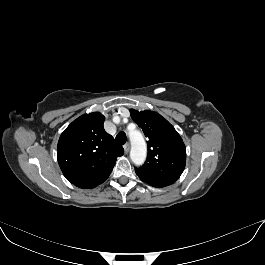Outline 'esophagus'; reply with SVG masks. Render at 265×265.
Wrapping results in <instances>:
<instances>
[{
    "instance_id": "esophagus-1",
    "label": "esophagus",
    "mask_w": 265,
    "mask_h": 265,
    "mask_svg": "<svg viewBox=\"0 0 265 265\" xmlns=\"http://www.w3.org/2000/svg\"><path fill=\"white\" fill-rule=\"evenodd\" d=\"M129 150H130V144H129V143H126V144L124 145V151H125V153H128Z\"/></svg>"
}]
</instances>
